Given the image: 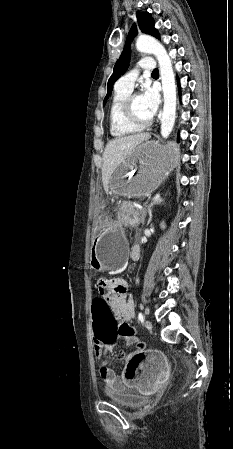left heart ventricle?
Listing matches in <instances>:
<instances>
[{"label": "left heart ventricle", "instance_id": "obj_1", "mask_svg": "<svg viewBox=\"0 0 233 449\" xmlns=\"http://www.w3.org/2000/svg\"><path fill=\"white\" fill-rule=\"evenodd\" d=\"M134 111H135V114L141 119H146L151 116V114L149 113V111L145 105L142 95H138L135 97Z\"/></svg>", "mask_w": 233, "mask_h": 449}]
</instances>
